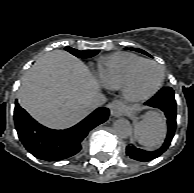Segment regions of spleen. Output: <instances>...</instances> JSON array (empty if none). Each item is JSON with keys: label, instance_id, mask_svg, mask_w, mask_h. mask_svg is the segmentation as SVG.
Listing matches in <instances>:
<instances>
[{"label": "spleen", "instance_id": "3e777b00", "mask_svg": "<svg viewBox=\"0 0 194 193\" xmlns=\"http://www.w3.org/2000/svg\"><path fill=\"white\" fill-rule=\"evenodd\" d=\"M166 135L164 116L158 111H148L143 119L135 125V136L139 144L156 147L162 143Z\"/></svg>", "mask_w": 194, "mask_h": 193}]
</instances>
